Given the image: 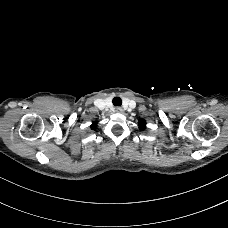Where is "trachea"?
<instances>
[{
	"mask_svg": "<svg viewBox=\"0 0 228 228\" xmlns=\"http://www.w3.org/2000/svg\"><path fill=\"white\" fill-rule=\"evenodd\" d=\"M112 102H113L114 106H121V104H122V100L119 97L113 98Z\"/></svg>",
	"mask_w": 228,
	"mask_h": 228,
	"instance_id": "3493384b",
	"label": "trachea"
}]
</instances>
